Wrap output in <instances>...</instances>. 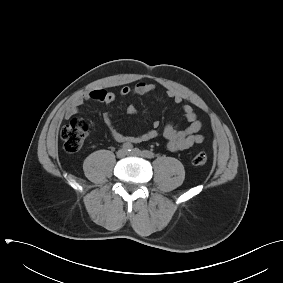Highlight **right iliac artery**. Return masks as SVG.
Listing matches in <instances>:
<instances>
[{
	"label": "right iliac artery",
	"mask_w": 283,
	"mask_h": 283,
	"mask_svg": "<svg viewBox=\"0 0 283 283\" xmlns=\"http://www.w3.org/2000/svg\"><path fill=\"white\" fill-rule=\"evenodd\" d=\"M122 148H123L124 150H126V151H131L132 148H133V145H132L131 143H124V144L122 145Z\"/></svg>",
	"instance_id": "1"
}]
</instances>
